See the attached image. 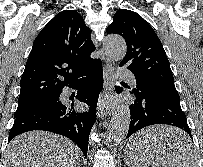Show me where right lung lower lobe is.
I'll return each instance as SVG.
<instances>
[{
    "label": "right lung lower lobe",
    "instance_id": "1",
    "mask_svg": "<svg viewBox=\"0 0 203 167\" xmlns=\"http://www.w3.org/2000/svg\"><path fill=\"white\" fill-rule=\"evenodd\" d=\"M66 86L80 88L76 98L89 106L87 112H76L73 108V101L59 100L61 90L57 94L56 102L15 117L8 141L27 131L45 130L68 137L79 146L86 156L89 134L96 121L97 100L103 88L101 60L99 59L92 67L72 79Z\"/></svg>",
    "mask_w": 203,
    "mask_h": 167
}]
</instances>
